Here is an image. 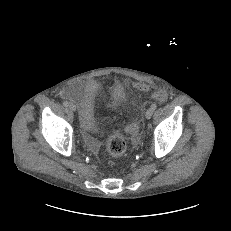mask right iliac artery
Returning <instances> with one entry per match:
<instances>
[{
    "label": "right iliac artery",
    "instance_id": "right-iliac-artery-1",
    "mask_svg": "<svg viewBox=\"0 0 231 231\" xmlns=\"http://www.w3.org/2000/svg\"><path fill=\"white\" fill-rule=\"evenodd\" d=\"M68 104H69V103H68L67 101H64V102H63V105L66 106V107L68 106Z\"/></svg>",
    "mask_w": 231,
    "mask_h": 231
}]
</instances>
